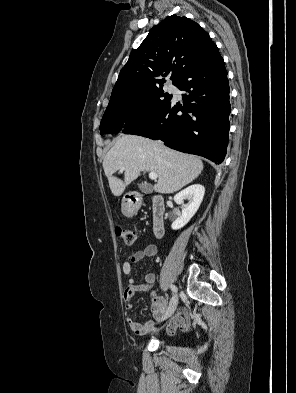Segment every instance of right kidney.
<instances>
[{
    "label": "right kidney",
    "instance_id": "right-kidney-1",
    "mask_svg": "<svg viewBox=\"0 0 296 393\" xmlns=\"http://www.w3.org/2000/svg\"><path fill=\"white\" fill-rule=\"evenodd\" d=\"M204 194V186L200 184H194L174 196V201L177 204H182L185 199L189 200V203L185 206H182V215L178 217L171 225L173 230L181 229L190 221V219L199 209Z\"/></svg>",
    "mask_w": 296,
    "mask_h": 393
}]
</instances>
